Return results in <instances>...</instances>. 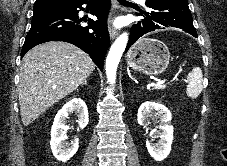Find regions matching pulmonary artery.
I'll list each match as a JSON object with an SVG mask.
<instances>
[{
	"mask_svg": "<svg viewBox=\"0 0 227 166\" xmlns=\"http://www.w3.org/2000/svg\"><path fill=\"white\" fill-rule=\"evenodd\" d=\"M134 1H138L140 4L145 5L146 0H134Z\"/></svg>",
	"mask_w": 227,
	"mask_h": 166,
	"instance_id": "e3ab8cb5",
	"label": "pulmonary artery"
}]
</instances>
